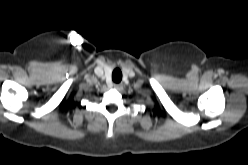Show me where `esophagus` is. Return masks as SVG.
I'll list each match as a JSON object with an SVG mask.
<instances>
[{"label":"esophagus","mask_w":248,"mask_h":165,"mask_svg":"<svg viewBox=\"0 0 248 165\" xmlns=\"http://www.w3.org/2000/svg\"><path fill=\"white\" fill-rule=\"evenodd\" d=\"M113 88L116 89V90H118V91H120V90L123 89V85L122 84H114L113 85Z\"/></svg>","instance_id":"obj_1"}]
</instances>
